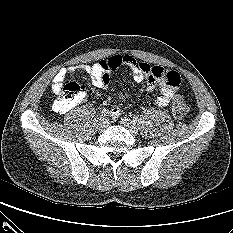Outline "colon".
<instances>
[{
    "label": "colon",
    "instance_id": "colon-1",
    "mask_svg": "<svg viewBox=\"0 0 233 233\" xmlns=\"http://www.w3.org/2000/svg\"><path fill=\"white\" fill-rule=\"evenodd\" d=\"M84 97V87L71 82L62 87L60 96L54 102L53 107L57 112L64 113L74 108ZM171 110L176 118H183L189 112V105L181 96H175Z\"/></svg>",
    "mask_w": 233,
    "mask_h": 233
}]
</instances>
